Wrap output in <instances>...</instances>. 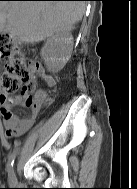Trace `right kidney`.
Returning <instances> with one entry per match:
<instances>
[{
    "instance_id": "1",
    "label": "right kidney",
    "mask_w": 137,
    "mask_h": 189,
    "mask_svg": "<svg viewBox=\"0 0 137 189\" xmlns=\"http://www.w3.org/2000/svg\"><path fill=\"white\" fill-rule=\"evenodd\" d=\"M73 36L69 31H61L50 36L41 49V56L48 71L56 73L63 69L71 57Z\"/></svg>"
}]
</instances>
